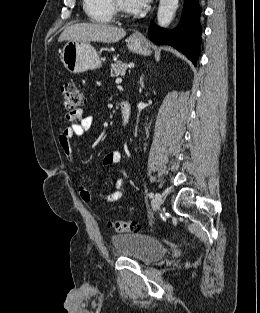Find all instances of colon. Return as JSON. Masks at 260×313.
<instances>
[{
  "label": "colon",
  "mask_w": 260,
  "mask_h": 313,
  "mask_svg": "<svg viewBox=\"0 0 260 313\" xmlns=\"http://www.w3.org/2000/svg\"><path fill=\"white\" fill-rule=\"evenodd\" d=\"M64 107L70 112L76 111L84 106L86 99L79 87L70 81L63 82L61 85ZM110 227L118 233H127L135 229V225L130 221L112 220Z\"/></svg>",
  "instance_id": "5ec220e1"
}]
</instances>
